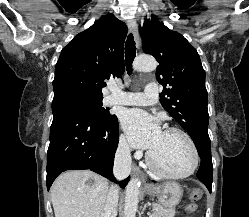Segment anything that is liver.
Masks as SVG:
<instances>
[{"label": "liver", "instance_id": "6515ba94", "mask_svg": "<svg viewBox=\"0 0 249 217\" xmlns=\"http://www.w3.org/2000/svg\"><path fill=\"white\" fill-rule=\"evenodd\" d=\"M108 192L106 178L89 170L67 171L51 187L55 217H103Z\"/></svg>", "mask_w": 249, "mask_h": 217}]
</instances>
